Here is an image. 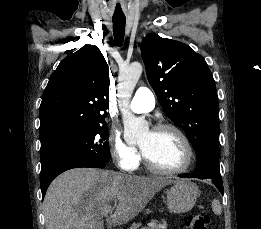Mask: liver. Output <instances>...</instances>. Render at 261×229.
Returning <instances> with one entry per match:
<instances>
[{"instance_id":"6515ba94","label":"liver","mask_w":261,"mask_h":229,"mask_svg":"<svg viewBox=\"0 0 261 229\" xmlns=\"http://www.w3.org/2000/svg\"><path fill=\"white\" fill-rule=\"evenodd\" d=\"M170 183L164 177L71 169L59 175L47 189L43 203L45 229H103V217L108 213V221L124 225ZM110 199L118 201L114 213Z\"/></svg>"}]
</instances>
